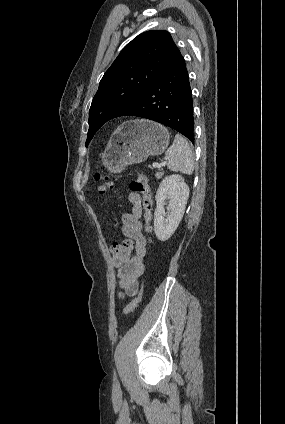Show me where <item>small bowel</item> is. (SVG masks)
<instances>
[{
  "label": "small bowel",
  "mask_w": 285,
  "mask_h": 424,
  "mask_svg": "<svg viewBox=\"0 0 285 424\" xmlns=\"http://www.w3.org/2000/svg\"><path fill=\"white\" fill-rule=\"evenodd\" d=\"M132 209L130 213L121 215V232L132 243L134 255L118 266L117 279L120 289L119 296H134L139 290V279L144 273L143 258L146 254V240L142 233L141 217L143 207L141 196L136 192L128 194Z\"/></svg>",
  "instance_id": "obj_1"
}]
</instances>
